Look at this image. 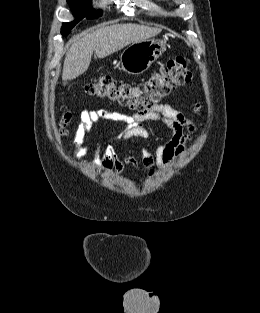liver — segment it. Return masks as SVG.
Segmentation results:
<instances>
[{
	"label": "liver",
	"mask_w": 260,
	"mask_h": 313,
	"mask_svg": "<svg viewBox=\"0 0 260 313\" xmlns=\"http://www.w3.org/2000/svg\"><path fill=\"white\" fill-rule=\"evenodd\" d=\"M160 28L137 24H113L85 33L74 40L68 49L62 72V80H73L89 67L93 52L98 58H104L130 43L149 39L158 35Z\"/></svg>",
	"instance_id": "6515ba94"
}]
</instances>
